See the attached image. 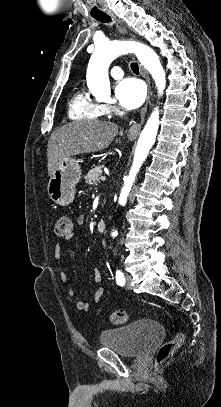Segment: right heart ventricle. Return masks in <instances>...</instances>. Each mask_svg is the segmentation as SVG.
Here are the masks:
<instances>
[{
    "mask_svg": "<svg viewBox=\"0 0 221 407\" xmlns=\"http://www.w3.org/2000/svg\"><path fill=\"white\" fill-rule=\"evenodd\" d=\"M104 114L101 106L86 96L81 88L72 93L68 102V117L71 120H97Z\"/></svg>",
    "mask_w": 221,
    "mask_h": 407,
    "instance_id": "right-heart-ventricle-1",
    "label": "right heart ventricle"
}]
</instances>
